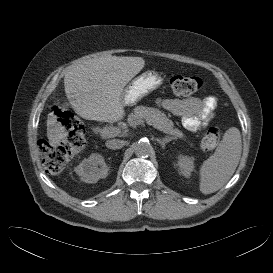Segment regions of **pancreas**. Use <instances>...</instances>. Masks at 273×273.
<instances>
[{
    "label": "pancreas",
    "mask_w": 273,
    "mask_h": 273,
    "mask_svg": "<svg viewBox=\"0 0 273 273\" xmlns=\"http://www.w3.org/2000/svg\"><path fill=\"white\" fill-rule=\"evenodd\" d=\"M146 120L154 128L171 135L172 139H184V134L177 128H174L173 122L160 110L151 107L137 106L128 116V123L131 126L137 125L139 120ZM193 146L192 143H190Z\"/></svg>",
    "instance_id": "1"
}]
</instances>
